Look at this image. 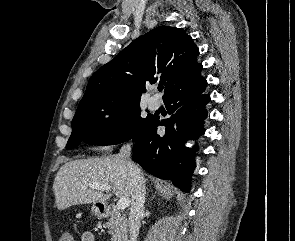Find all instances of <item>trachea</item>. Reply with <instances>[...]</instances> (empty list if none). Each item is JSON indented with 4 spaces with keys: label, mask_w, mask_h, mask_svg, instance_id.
Masks as SVG:
<instances>
[{
    "label": "trachea",
    "mask_w": 295,
    "mask_h": 241,
    "mask_svg": "<svg viewBox=\"0 0 295 241\" xmlns=\"http://www.w3.org/2000/svg\"><path fill=\"white\" fill-rule=\"evenodd\" d=\"M158 90L162 91L163 90V86H158Z\"/></svg>",
    "instance_id": "3493384b"
}]
</instances>
